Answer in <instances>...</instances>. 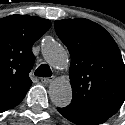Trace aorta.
Here are the masks:
<instances>
[{"label": "aorta", "instance_id": "obj_1", "mask_svg": "<svg viewBox=\"0 0 125 125\" xmlns=\"http://www.w3.org/2000/svg\"><path fill=\"white\" fill-rule=\"evenodd\" d=\"M45 61L52 67L63 69L68 64V55L64 47L52 39H46L42 47ZM49 96L57 107H66L72 99V89L68 81L54 80L49 86Z\"/></svg>", "mask_w": 125, "mask_h": 125}]
</instances>
